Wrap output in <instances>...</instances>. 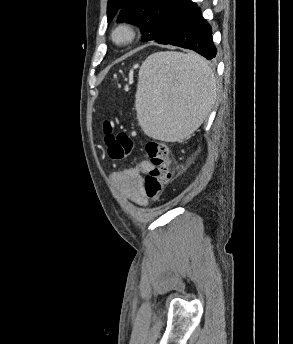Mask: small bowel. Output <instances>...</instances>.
I'll use <instances>...</instances> for the list:
<instances>
[{
	"label": "small bowel",
	"instance_id": "small-bowel-1",
	"mask_svg": "<svg viewBox=\"0 0 293 344\" xmlns=\"http://www.w3.org/2000/svg\"><path fill=\"white\" fill-rule=\"evenodd\" d=\"M152 167L149 161L143 160L117 174L124 197L138 206L147 204V197L143 191V174L148 173Z\"/></svg>",
	"mask_w": 293,
	"mask_h": 344
}]
</instances>
